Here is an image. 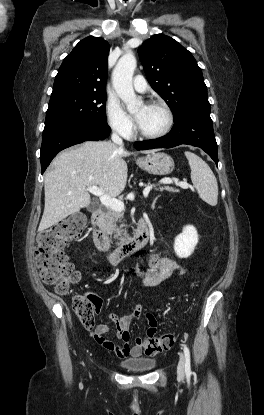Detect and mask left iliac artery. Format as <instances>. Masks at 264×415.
<instances>
[{
    "mask_svg": "<svg viewBox=\"0 0 264 415\" xmlns=\"http://www.w3.org/2000/svg\"><path fill=\"white\" fill-rule=\"evenodd\" d=\"M184 355H185V373L187 377L191 375V366H190V351L186 345H183Z\"/></svg>",
    "mask_w": 264,
    "mask_h": 415,
    "instance_id": "obj_1",
    "label": "left iliac artery"
}]
</instances>
